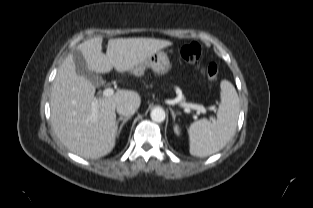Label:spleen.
Returning a JSON list of instances; mask_svg holds the SVG:
<instances>
[{
	"label": "spleen",
	"mask_w": 313,
	"mask_h": 208,
	"mask_svg": "<svg viewBox=\"0 0 313 208\" xmlns=\"http://www.w3.org/2000/svg\"><path fill=\"white\" fill-rule=\"evenodd\" d=\"M220 88L221 103L217 119L213 122L200 119L188 129L189 152L193 156L207 157L218 152L235 134L240 111L239 97L228 80H222Z\"/></svg>",
	"instance_id": "obj_1"
}]
</instances>
